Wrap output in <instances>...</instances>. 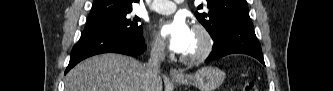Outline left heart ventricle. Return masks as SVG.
Returning a JSON list of instances; mask_svg holds the SVG:
<instances>
[{"mask_svg":"<svg viewBox=\"0 0 333 91\" xmlns=\"http://www.w3.org/2000/svg\"><path fill=\"white\" fill-rule=\"evenodd\" d=\"M201 46V38L194 32H192L191 39L186 51L183 54L190 55L199 50Z\"/></svg>","mask_w":333,"mask_h":91,"instance_id":"1","label":"left heart ventricle"}]
</instances>
